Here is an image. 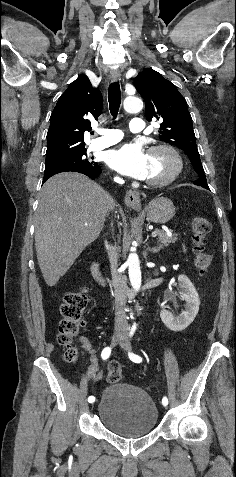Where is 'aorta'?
<instances>
[{
  "label": "aorta",
  "instance_id": "obj_1",
  "mask_svg": "<svg viewBox=\"0 0 236 477\" xmlns=\"http://www.w3.org/2000/svg\"><path fill=\"white\" fill-rule=\"evenodd\" d=\"M123 107L129 113H136L143 108V102L138 97L129 96L124 99ZM126 263L131 285L135 291H138L141 287V270L138 255L130 253Z\"/></svg>",
  "mask_w": 236,
  "mask_h": 477
}]
</instances>
